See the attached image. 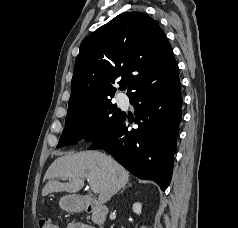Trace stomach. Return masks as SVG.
Returning <instances> with one entry per match:
<instances>
[{
  "label": "stomach",
  "instance_id": "stomach-1",
  "mask_svg": "<svg viewBox=\"0 0 238 228\" xmlns=\"http://www.w3.org/2000/svg\"><path fill=\"white\" fill-rule=\"evenodd\" d=\"M59 205L66 211H80L82 209V203L75 195H65L60 201Z\"/></svg>",
  "mask_w": 238,
  "mask_h": 228
}]
</instances>
